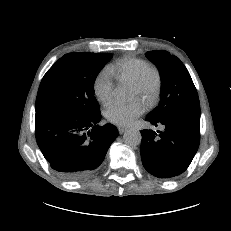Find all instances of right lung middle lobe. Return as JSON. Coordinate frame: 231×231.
<instances>
[{
	"mask_svg": "<svg viewBox=\"0 0 231 231\" xmlns=\"http://www.w3.org/2000/svg\"><path fill=\"white\" fill-rule=\"evenodd\" d=\"M111 53H68L44 75L36 98V112L46 110L91 117L99 112L94 82Z\"/></svg>",
	"mask_w": 231,
	"mask_h": 231,
	"instance_id": "right-lung-middle-lobe-1",
	"label": "right lung middle lobe"
}]
</instances>
